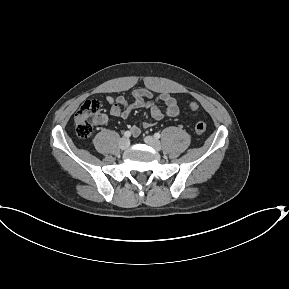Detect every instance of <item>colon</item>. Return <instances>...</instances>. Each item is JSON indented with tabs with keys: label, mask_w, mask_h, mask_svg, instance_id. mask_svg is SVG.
I'll return each instance as SVG.
<instances>
[{
	"label": "colon",
	"mask_w": 289,
	"mask_h": 289,
	"mask_svg": "<svg viewBox=\"0 0 289 289\" xmlns=\"http://www.w3.org/2000/svg\"><path fill=\"white\" fill-rule=\"evenodd\" d=\"M190 108L197 111L199 106L196 102L190 103ZM102 105L97 100L85 101L75 115L74 125L76 133L81 138H87L91 135L93 126L100 118ZM195 131L202 134L206 131V123L198 121L195 124Z\"/></svg>",
	"instance_id": "5ec220e1"
}]
</instances>
